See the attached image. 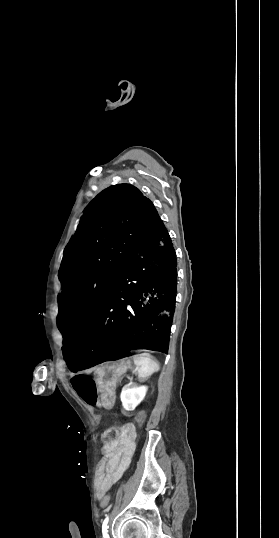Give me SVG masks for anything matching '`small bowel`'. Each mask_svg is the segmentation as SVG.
<instances>
[{"label":"small bowel","mask_w":279,"mask_h":538,"mask_svg":"<svg viewBox=\"0 0 279 538\" xmlns=\"http://www.w3.org/2000/svg\"><path fill=\"white\" fill-rule=\"evenodd\" d=\"M72 387L79 398L89 406H98L99 400L94 380L87 375H77L72 379ZM136 430L133 424L121 427L119 440L105 445L103 451L107 455L104 473L97 481L100 497L104 496L123 476L128 468L135 450Z\"/></svg>","instance_id":"c3829d8e"}]
</instances>
